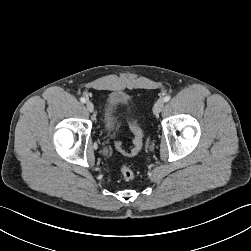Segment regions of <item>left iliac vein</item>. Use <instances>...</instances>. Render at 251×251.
Returning <instances> with one entry per match:
<instances>
[{"label": "left iliac vein", "instance_id": "1", "mask_svg": "<svg viewBox=\"0 0 251 251\" xmlns=\"http://www.w3.org/2000/svg\"><path fill=\"white\" fill-rule=\"evenodd\" d=\"M163 107H164V100L159 99L154 105L153 113L155 115H158L162 111Z\"/></svg>", "mask_w": 251, "mask_h": 251}]
</instances>
